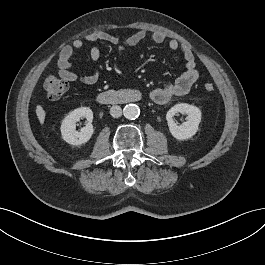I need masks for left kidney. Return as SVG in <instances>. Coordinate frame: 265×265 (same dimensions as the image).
I'll list each match as a JSON object with an SVG mask.
<instances>
[{
	"label": "left kidney",
	"mask_w": 265,
	"mask_h": 265,
	"mask_svg": "<svg viewBox=\"0 0 265 265\" xmlns=\"http://www.w3.org/2000/svg\"><path fill=\"white\" fill-rule=\"evenodd\" d=\"M187 114V121L182 125H177L173 119L176 113ZM170 133L177 140H187L193 137L198 131L201 122V111L198 107L187 103L176 104L169 109L166 114Z\"/></svg>",
	"instance_id": "obj_1"
}]
</instances>
